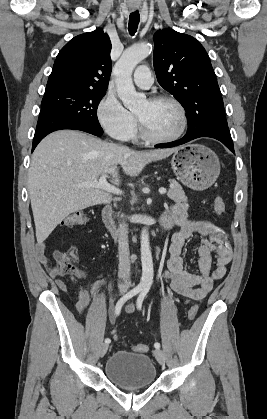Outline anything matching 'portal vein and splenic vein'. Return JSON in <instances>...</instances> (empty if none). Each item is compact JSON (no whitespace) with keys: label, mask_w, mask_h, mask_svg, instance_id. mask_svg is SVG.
I'll use <instances>...</instances> for the list:
<instances>
[{"label":"portal vein and splenic vein","mask_w":267,"mask_h":419,"mask_svg":"<svg viewBox=\"0 0 267 419\" xmlns=\"http://www.w3.org/2000/svg\"><path fill=\"white\" fill-rule=\"evenodd\" d=\"M83 186H88L92 188H98L105 190L107 192L115 193V194H122V192L116 188L115 186L109 184L106 180V175L102 174L99 181H90L83 183ZM167 190L165 188H160L159 193L165 194Z\"/></svg>","instance_id":"18ae733b"}]
</instances>
